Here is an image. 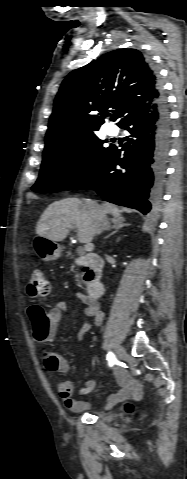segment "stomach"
Here are the masks:
<instances>
[{
	"label": "stomach",
	"mask_w": 187,
	"mask_h": 479,
	"mask_svg": "<svg viewBox=\"0 0 187 479\" xmlns=\"http://www.w3.org/2000/svg\"><path fill=\"white\" fill-rule=\"evenodd\" d=\"M36 254L44 261L55 260L61 256V246L52 240L37 235L33 240Z\"/></svg>",
	"instance_id": "0dacf381"
}]
</instances>
